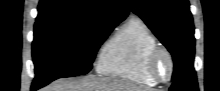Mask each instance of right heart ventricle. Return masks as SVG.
Masks as SVG:
<instances>
[{"mask_svg":"<svg viewBox=\"0 0 220 91\" xmlns=\"http://www.w3.org/2000/svg\"><path fill=\"white\" fill-rule=\"evenodd\" d=\"M158 42L148 25L138 17L129 18L107 41L98 60L97 71L107 77L143 86H155L146 72L149 53Z\"/></svg>","mask_w":220,"mask_h":91,"instance_id":"right-heart-ventricle-1","label":"right heart ventricle"}]
</instances>
